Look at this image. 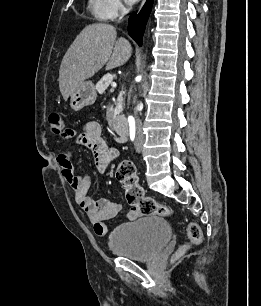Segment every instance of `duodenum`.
Segmentation results:
<instances>
[{
	"label": "duodenum",
	"instance_id": "duodenum-1",
	"mask_svg": "<svg viewBox=\"0 0 261 306\" xmlns=\"http://www.w3.org/2000/svg\"><path fill=\"white\" fill-rule=\"evenodd\" d=\"M113 127L115 131L123 137L127 136L129 133L128 122L123 116L117 115L113 118Z\"/></svg>",
	"mask_w": 261,
	"mask_h": 306
}]
</instances>
